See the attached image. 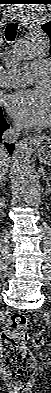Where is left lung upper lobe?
Returning <instances> with one entry per match:
<instances>
[{"label":"left lung upper lobe","mask_w":51,"mask_h":393,"mask_svg":"<svg viewBox=\"0 0 51 393\" xmlns=\"http://www.w3.org/2000/svg\"><path fill=\"white\" fill-rule=\"evenodd\" d=\"M42 29L49 35L51 39V21L43 24Z\"/></svg>","instance_id":"1"}]
</instances>
